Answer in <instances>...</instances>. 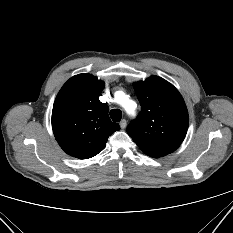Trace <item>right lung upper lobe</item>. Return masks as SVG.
Returning <instances> with one entry per match:
<instances>
[{"instance_id": "right-lung-upper-lobe-1", "label": "right lung upper lobe", "mask_w": 233, "mask_h": 233, "mask_svg": "<svg viewBox=\"0 0 233 233\" xmlns=\"http://www.w3.org/2000/svg\"><path fill=\"white\" fill-rule=\"evenodd\" d=\"M103 81L90 74L70 78L59 91L52 111V129L61 148L78 159H88L105 146L119 130L111 122L108 106L99 101Z\"/></svg>"}]
</instances>
